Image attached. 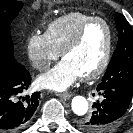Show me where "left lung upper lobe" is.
I'll list each match as a JSON object with an SVG mask.
<instances>
[{
  "mask_svg": "<svg viewBox=\"0 0 133 133\" xmlns=\"http://www.w3.org/2000/svg\"><path fill=\"white\" fill-rule=\"evenodd\" d=\"M115 22L119 31L117 48L109 63L107 71L98 84L97 91L102 89H119L133 95V30L120 14H115ZM89 116L82 117L78 125L85 131H90L92 127L86 121Z\"/></svg>",
  "mask_w": 133,
  "mask_h": 133,
  "instance_id": "1",
  "label": "left lung upper lobe"
}]
</instances>
